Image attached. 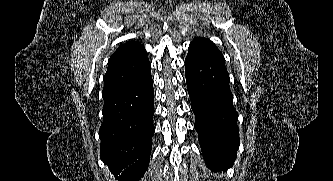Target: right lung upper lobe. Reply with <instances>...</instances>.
Wrapping results in <instances>:
<instances>
[{"label":"right lung upper lobe","instance_id":"right-lung-upper-lobe-1","mask_svg":"<svg viewBox=\"0 0 333 181\" xmlns=\"http://www.w3.org/2000/svg\"><path fill=\"white\" fill-rule=\"evenodd\" d=\"M151 71L145 48L134 41L121 45L110 57L102 96L111 94L145 77Z\"/></svg>","mask_w":333,"mask_h":181}]
</instances>
